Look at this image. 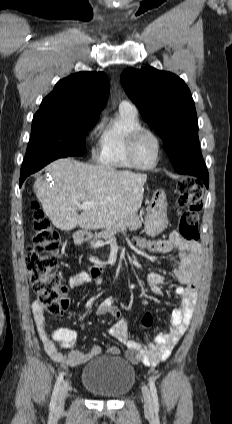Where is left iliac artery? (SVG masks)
<instances>
[{
    "label": "left iliac artery",
    "instance_id": "obj_1",
    "mask_svg": "<svg viewBox=\"0 0 232 424\" xmlns=\"http://www.w3.org/2000/svg\"><path fill=\"white\" fill-rule=\"evenodd\" d=\"M149 386H150L151 395L153 398L154 410L155 412H157L159 410L158 395H157V389H156L155 383L152 379H149Z\"/></svg>",
    "mask_w": 232,
    "mask_h": 424
}]
</instances>
